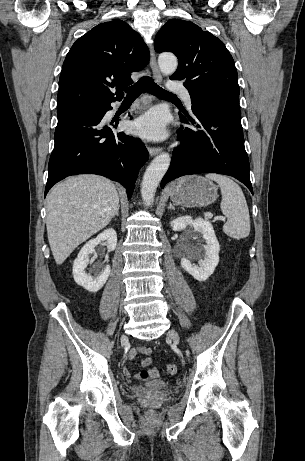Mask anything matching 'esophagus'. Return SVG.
Listing matches in <instances>:
<instances>
[{
    "instance_id": "1",
    "label": "esophagus",
    "mask_w": 305,
    "mask_h": 461,
    "mask_svg": "<svg viewBox=\"0 0 305 461\" xmlns=\"http://www.w3.org/2000/svg\"><path fill=\"white\" fill-rule=\"evenodd\" d=\"M150 68H151L152 75L155 81L161 82L162 76H161V73L159 71V68L156 62V56H155V52H154L152 45H150ZM148 151H149L150 156H155L162 151V148L150 146L148 147Z\"/></svg>"
}]
</instances>
